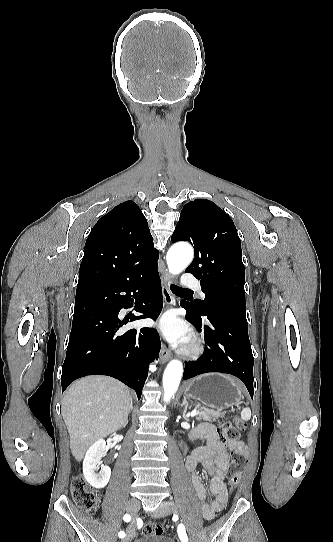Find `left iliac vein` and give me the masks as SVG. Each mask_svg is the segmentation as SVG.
<instances>
[{
	"instance_id": "obj_1",
	"label": "left iliac vein",
	"mask_w": 333,
	"mask_h": 542,
	"mask_svg": "<svg viewBox=\"0 0 333 542\" xmlns=\"http://www.w3.org/2000/svg\"><path fill=\"white\" fill-rule=\"evenodd\" d=\"M161 507H162V510L160 512H158V514H157V516H159V517L168 515L170 513H177L178 512V508L176 507V505L172 501H163L161 503Z\"/></svg>"
}]
</instances>
